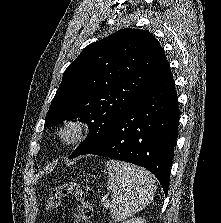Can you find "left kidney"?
Here are the masks:
<instances>
[{
    "label": "left kidney",
    "mask_w": 221,
    "mask_h": 223,
    "mask_svg": "<svg viewBox=\"0 0 221 223\" xmlns=\"http://www.w3.org/2000/svg\"><path fill=\"white\" fill-rule=\"evenodd\" d=\"M123 223H146V222L142 218H132V219L127 220L126 222H123Z\"/></svg>",
    "instance_id": "left-kidney-1"
}]
</instances>
